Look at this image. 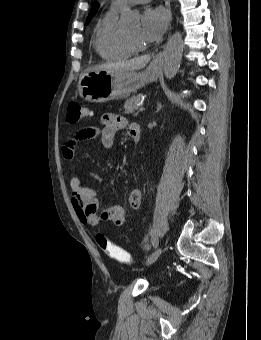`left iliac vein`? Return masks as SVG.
<instances>
[{
	"label": "left iliac vein",
	"instance_id": "left-iliac-vein-1",
	"mask_svg": "<svg viewBox=\"0 0 261 340\" xmlns=\"http://www.w3.org/2000/svg\"><path fill=\"white\" fill-rule=\"evenodd\" d=\"M162 251H163V248H162V247L157 248V249L149 256V258L147 259L146 265L148 266V265L153 264V263L159 258V256L161 255Z\"/></svg>",
	"mask_w": 261,
	"mask_h": 340
}]
</instances>
